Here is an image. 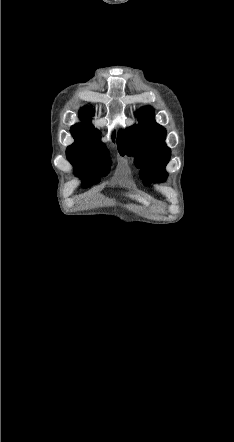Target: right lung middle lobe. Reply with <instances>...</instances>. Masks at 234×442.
I'll return each instance as SVG.
<instances>
[{"label": "right lung middle lobe", "mask_w": 234, "mask_h": 442, "mask_svg": "<svg viewBox=\"0 0 234 442\" xmlns=\"http://www.w3.org/2000/svg\"><path fill=\"white\" fill-rule=\"evenodd\" d=\"M74 137V136H73ZM74 144L67 148V158L75 167L77 175L83 181L82 187H89L100 182L101 176L109 172L110 160L105 147H87L77 138Z\"/></svg>", "instance_id": "dd1d6c3e"}]
</instances>
